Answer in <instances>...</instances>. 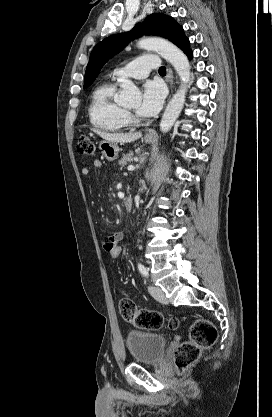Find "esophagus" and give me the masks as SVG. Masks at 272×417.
<instances>
[{"instance_id": "1", "label": "esophagus", "mask_w": 272, "mask_h": 417, "mask_svg": "<svg viewBox=\"0 0 272 417\" xmlns=\"http://www.w3.org/2000/svg\"><path fill=\"white\" fill-rule=\"evenodd\" d=\"M167 81L169 82V85H170V88H171V90H172V87H173V82H174V77H173V72H172V70L171 69H168V73H167ZM155 133H154V131L153 130H149L147 133H146V136H153Z\"/></svg>"}]
</instances>
